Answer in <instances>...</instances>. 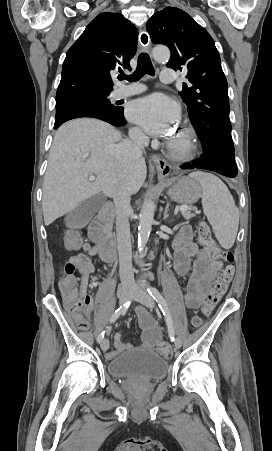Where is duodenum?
Returning <instances> with one entry per match:
<instances>
[{
    "mask_svg": "<svg viewBox=\"0 0 272 451\" xmlns=\"http://www.w3.org/2000/svg\"><path fill=\"white\" fill-rule=\"evenodd\" d=\"M113 211L110 203L104 204L89 226V236L96 243L99 256L106 262H111L116 257L115 241L106 232L112 222Z\"/></svg>",
    "mask_w": 272,
    "mask_h": 451,
    "instance_id": "obj_1",
    "label": "duodenum"
}]
</instances>
